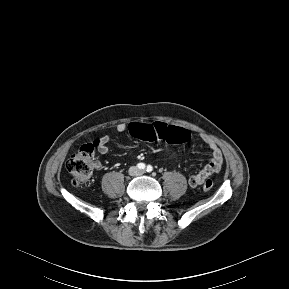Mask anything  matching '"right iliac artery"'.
Segmentation results:
<instances>
[{"mask_svg": "<svg viewBox=\"0 0 289 289\" xmlns=\"http://www.w3.org/2000/svg\"><path fill=\"white\" fill-rule=\"evenodd\" d=\"M137 167H138L139 169H141V170H144L145 167H146V165H145L144 163H138V164H137Z\"/></svg>", "mask_w": 289, "mask_h": 289, "instance_id": "right-iliac-artery-1", "label": "right iliac artery"}]
</instances>
